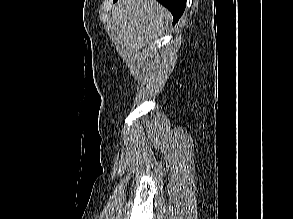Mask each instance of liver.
<instances>
[{"mask_svg":"<svg viewBox=\"0 0 293 219\" xmlns=\"http://www.w3.org/2000/svg\"><path fill=\"white\" fill-rule=\"evenodd\" d=\"M171 13L156 0H118L112 9L116 40L130 57L162 34Z\"/></svg>","mask_w":293,"mask_h":219,"instance_id":"liver-1","label":"liver"}]
</instances>
